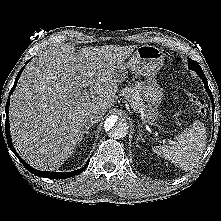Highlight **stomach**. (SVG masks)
Here are the masks:
<instances>
[{
	"label": "stomach",
	"mask_w": 221,
	"mask_h": 221,
	"mask_svg": "<svg viewBox=\"0 0 221 221\" xmlns=\"http://www.w3.org/2000/svg\"><path fill=\"white\" fill-rule=\"evenodd\" d=\"M164 63L162 50L151 45L139 46L127 63H123L117 69L119 82L125 80L128 71L138 76L145 77V81L139 85L140 93L145 102L144 122L153 123L158 120V107L164 98V88L161 87L155 76Z\"/></svg>",
	"instance_id": "stomach-1"
}]
</instances>
